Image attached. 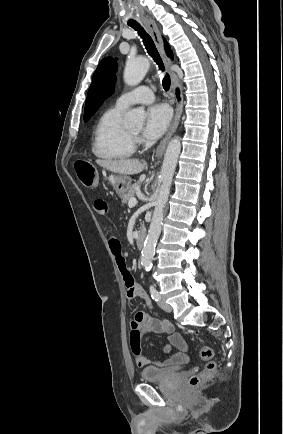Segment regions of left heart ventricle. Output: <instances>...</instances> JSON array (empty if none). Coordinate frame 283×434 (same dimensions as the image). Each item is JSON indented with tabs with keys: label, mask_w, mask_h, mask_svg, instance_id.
Here are the masks:
<instances>
[{
	"label": "left heart ventricle",
	"mask_w": 283,
	"mask_h": 434,
	"mask_svg": "<svg viewBox=\"0 0 283 434\" xmlns=\"http://www.w3.org/2000/svg\"><path fill=\"white\" fill-rule=\"evenodd\" d=\"M131 131H132L133 133H138V132L140 131V128H139V127H137V128H133V129H131Z\"/></svg>",
	"instance_id": "left-heart-ventricle-1"
}]
</instances>
